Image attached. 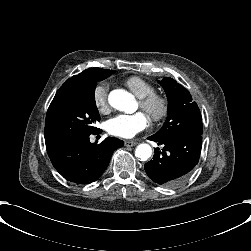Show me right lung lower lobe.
<instances>
[{"label":"right lung lower lobe","mask_w":251,"mask_h":251,"mask_svg":"<svg viewBox=\"0 0 251 251\" xmlns=\"http://www.w3.org/2000/svg\"><path fill=\"white\" fill-rule=\"evenodd\" d=\"M89 136L71 137L46 147L55 169L70 182L88 184L96 181L106 170L114 150L124 144L111 137L97 145L90 143Z\"/></svg>","instance_id":"1"}]
</instances>
